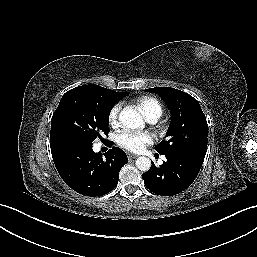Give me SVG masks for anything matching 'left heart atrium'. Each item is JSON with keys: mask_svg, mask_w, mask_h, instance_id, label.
Masks as SVG:
<instances>
[{"mask_svg": "<svg viewBox=\"0 0 257 257\" xmlns=\"http://www.w3.org/2000/svg\"><path fill=\"white\" fill-rule=\"evenodd\" d=\"M153 142L154 136L148 132L124 130L117 137L118 145L132 152H140Z\"/></svg>", "mask_w": 257, "mask_h": 257, "instance_id": "left-heart-atrium-1", "label": "left heart atrium"}]
</instances>
